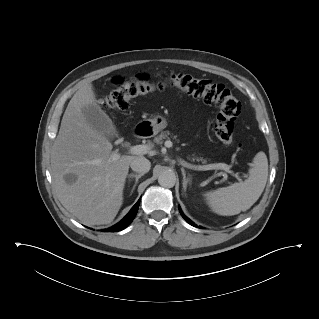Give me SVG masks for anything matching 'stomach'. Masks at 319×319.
Segmentation results:
<instances>
[{"label": "stomach", "instance_id": "stomach-1", "mask_svg": "<svg viewBox=\"0 0 319 319\" xmlns=\"http://www.w3.org/2000/svg\"><path fill=\"white\" fill-rule=\"evenodd\" d=\"M147 122L149 124V127L151 128L153 135L157 134L168 125L166 118H164L160 114L151 115Z\"/></svg>", "mask_w": 319, "mask_h": 319}]
</instances>
